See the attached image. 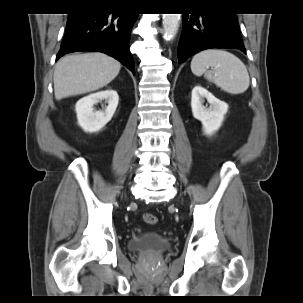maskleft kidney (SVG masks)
Wrapping results in <instances>:
<instances>
[{"mask_svg": "<svg viewBox=\"0 0 303 303\" xmlns=\"http://www.w3.org/2000/svg\"><path fill=\"white\" fill-rule=\"evenodd\" d=\"M204 98L210 104L209 108L203 106ZM191 108L193 117L201 121L206 135H213L222 125L228 105L217 99L201 85H196L192 90Z\"/></svg>", "mask_w": 303, "mask_h": 303, "instance_id": "obj_1", "label": "left kidney"}]
</instances>
